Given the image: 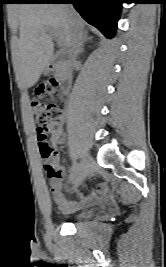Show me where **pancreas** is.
Returning a JSON list of instances; mask_svg holds the SVG:
<instances>
[{"mask_svg": "<svg viewBox=\"0 0 166 267\" xmlns=\"http://www.w3.org/2000/svg\"><path fill=\"white\" fill-rule=\"evenodd\" d=\"M66 67H67L66 63H65V62H62V63L60 64V66L58 67V69H57V74L59 75V74L61 73V71H62L63 69H65Z\"/></svg>", "mask_w": 166, "mask_h": 267, "instance_id": "1", "label": "pancreas"}]
</instances>
